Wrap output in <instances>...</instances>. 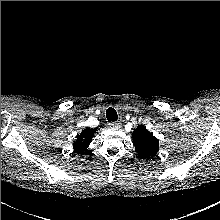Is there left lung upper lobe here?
<instances>
[{
	"label": "left lung upper lobe",
	"mask_w": 220,
	"mask_h": 220,
	"mask_svg": "<svg viewBox=\"0 0 220 220\" xmlns=\"http://www.w3.org/2000/svg\"><path fill=\"white\" fill-rule=\"evenodd\" d=\"M133 144L138 156L142 159L151 158L159 151V140L145 126L139 125L132 133Z\"/></svg>",
	"instance_id": "5c2ea615"
}]
</instances>
